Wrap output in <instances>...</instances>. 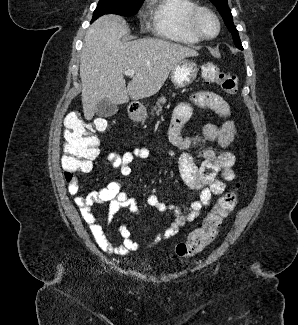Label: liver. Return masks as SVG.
Here are the masks:
<instances>
[{
	"label": "liver",
	"mask_w": 298,
	"mask_h": 325,
	"mask_svg": "<svg viewBox=\"0 0 298 325\" xmlns=\"http://www.w3.org/2000/svg\"><path fill=\"white\" fill-rule=\"evenodd\" d=\"M129 32L118 14H104L90 24L80 56L81 100L86 120H91L100 100L124 104L159 92L181 58L198 56L192 46L162 38H137L122 42ZM135 70L126 86L124 70Z\"/></svg>",
	"instance_id": "6515ba94"
}]
</instances>
